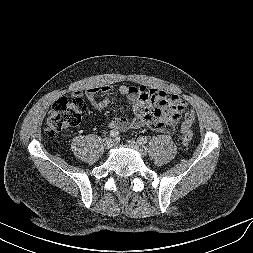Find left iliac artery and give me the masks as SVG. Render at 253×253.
Wrapping results in <instances>:
<instances>
[{"label": "left iliac artery", "mask_w": 253, "mask_h": 253, "mask_svg": "<svg viewBox=\"0 0 253 253\" xmlns=\"http://www.w3.org/2000/svg\"><path fill=\"white\" fill-rule=\"evenodd\" d=\"M138 141L141 144H146L148 142L147 138L144 136L139 137Z\"/></svg>", "instance_id": "left-iliac-artery-1"}]
</instances>
